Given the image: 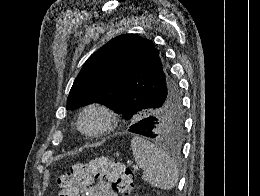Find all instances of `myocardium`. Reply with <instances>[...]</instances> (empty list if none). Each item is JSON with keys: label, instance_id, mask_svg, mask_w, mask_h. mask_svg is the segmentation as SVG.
<instances>
[{"label": "myocardium", "instance_id": "f54148a6", "mask_svg": "<svg viewBox=\"0 0 260 196\" xmlns=\"http://www.w3.org/2000/svg\"><path fill=\"white\" fill-rule=\"evenodd\" d=\"M90 111H99L104 115L105 118L103 125L96 131H92V132L86 131L81 126L83 117ZM116 124H117V115L113 109H111L109 106L105 104L91 103L85 106L81 110L79 114V122H78L77 129L79 133L85 138L90 140H98L104 137L105 135H107L108 133H110L114 129Z\"/></svg>", "mask_w": 260, "mask_h": 196}]
</instances>
